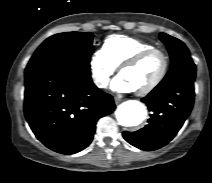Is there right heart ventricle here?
<instances>
[{"label":"right heart ventricle","instance_id":"right-heart-ventricle-1","mask_svg":"<svg viewBox=\"0 0 212 183\" xmlns=\"http://www.w3.org/2000/svg\"><path fill=\"white\" fill-rule=\"evenodd\" d=\"M152 43L136 38L114 35L108 37L103 43V50L116 67L134 57L138 53L154 48Z\"/></svg>","mask_w":212,"mask_h":183}]
</instances>
